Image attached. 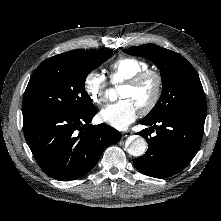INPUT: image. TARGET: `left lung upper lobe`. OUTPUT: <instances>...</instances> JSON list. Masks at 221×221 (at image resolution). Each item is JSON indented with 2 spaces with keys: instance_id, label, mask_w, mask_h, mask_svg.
<instances>
[{
  "instance_id": "5c2ea615",
  "label": "left lung upper lobe",
  "mask_w": 221,
  "mask_h": 221,
  "mask_svg": "<svg viewBox=\"0 0 221 221\" xmlns=\"http://www.w3.org/2000/svg\"><path fill=\"white\" fill-rule=\"evenodd\" d=\"M124 52L147 58L160 70L162 94L146 118L171 114L206 117V99L199 76L183 56L155 44L134 46Z\"/></svg>"
}]
</instances>
